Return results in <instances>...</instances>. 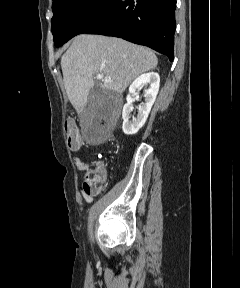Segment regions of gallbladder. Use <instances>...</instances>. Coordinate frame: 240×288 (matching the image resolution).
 Wrapping results in <instances>:
<instances>
[{
	"label": "gallbladder",
	"mask_w": 240,
	"mask_h": 288,
	"mask_svg": "<svg viewBox=\"0 0 240 288\" xmlns=\"http://www.w3.org/2000/svg\"><path fill=\"white\" fill-rule=\"evenodd\" d=\"M114 110V102L110 94L100 88H95L91 91L88 97V103L81 113L82 123L84 125L93 118L100 116L109 119Z\"/></svg>",
	"instance_id": "obj_1"
}]
</instances>
